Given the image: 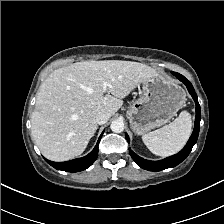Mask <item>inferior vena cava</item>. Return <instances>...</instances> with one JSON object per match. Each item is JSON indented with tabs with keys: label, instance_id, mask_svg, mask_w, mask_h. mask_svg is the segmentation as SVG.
<instances>
[{
	"label": "inferior vena cava",
	"instance_id": "1",
	"mask_svg": "<svg viewBox=\"0 0 224 224\" xmlns=\"http://www.w3.org/2000/svg\"><path fill=\"white\" fill-rule=\"evenodd\" d=\"M109 118H110V114L108 112H106V111H100L96 115V122L99 125H103V124L107 123V121L109 120Z\"/></svg>",
	"mask_w": 224,
	"mask_h": 224
}]
</instances>
